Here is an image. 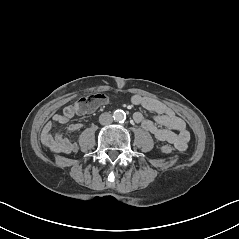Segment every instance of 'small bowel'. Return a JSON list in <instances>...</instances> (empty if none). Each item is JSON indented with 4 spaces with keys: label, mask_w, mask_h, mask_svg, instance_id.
I'll use <instances>...</instances> for the list:
<instances>
[{
    "label": "small bowel",
    "mask_w": 239,
    "mask_h": 239,
    "mask_svg": "<svg viewBox=\"0 0 239 239\" xmlns=\"http://www.w3.org/2000/svg\"><path fill=\"white\" fill-rule=\"evenodd\" d=\"M131 102L155 113L152 120L146 119L141 112L134 113V121L143 129L150 132L157 140L168 142L180 151L187 149L190 134L185 122L176 115L172 108L157 99L142 95H134ZM94 108L75 110L74 105L65 107L63 113L55 114L44 126L41 135L42 143L54 153L76 151L77 143L68 135L80 130L82 124H71L56 134L53 133V127L55 124L68 122L75 114H83Z\"/></svg>",
    "instance_id": "obj_1"
}]
</instances>
